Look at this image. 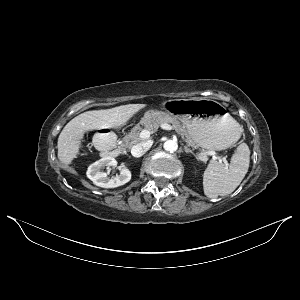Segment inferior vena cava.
Masks as SVG:
<instances>
[{"mask_svg":"<svg viewBox=\"0 0 300 300\" xmlns=\"http://www.w3.org/2000/svg\"><path fill=\"white\" fill-rule=\"evenodd\" d=\"M151 147V143L145 142L132 147L131 154L135 158L143 156Z\"/></svg>","mask_w":300,"mask_h":300,"instance_id":"obj_1","label":"inferior vena cava"}]
</instances>
